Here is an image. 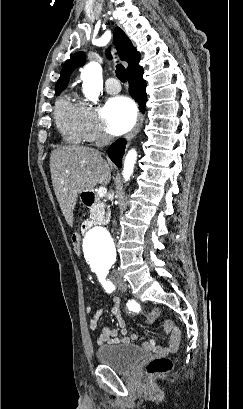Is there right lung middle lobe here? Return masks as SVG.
Wrapping results in <instances>:
<instances>
[{
	"label": "right lung middle lobe",
	"instance_id": "dd1d6c3e",
	"mask_svg": "<svg viewBox=\"0 0 243 409\" xmlns=\"http://www.w3.org/2000/svg\"><path fill=\"white\" fill-rule=\"evenodd\" d=\"M61 92L56 93V95L58 96Z\"/></svg>",
	"mask_w": 243,
	"mask_h": 409
}]
</instances>
